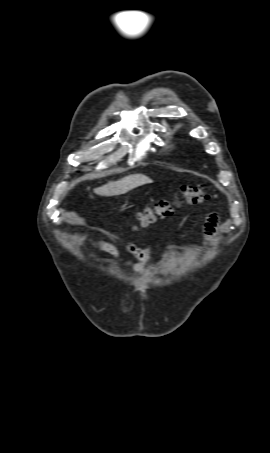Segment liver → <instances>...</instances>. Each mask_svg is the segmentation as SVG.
I'll return each instance as SVG.
<instances>
[{
    "instance_id": "obj_1",
    "label": "liver",
    "mask_w": 270,
    "mask_h": 453,
    "mask_svg": "<svg viewBox=\"0 0 270 453\" xmlns=\"http://www.w3.org/2000/svg\"><path fill=\"white\" fill-rule=\"evenodd\" d=\"M152 182L150 178L143 174H132L117 181H110L101 187L95 188L93 191L100 196H116Z\"/></svg>"
}]
</instances>
